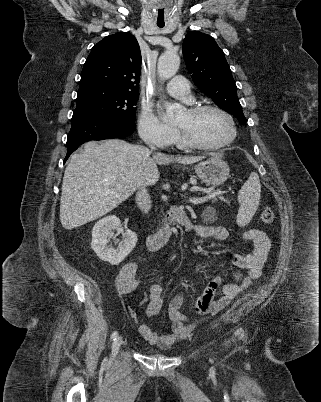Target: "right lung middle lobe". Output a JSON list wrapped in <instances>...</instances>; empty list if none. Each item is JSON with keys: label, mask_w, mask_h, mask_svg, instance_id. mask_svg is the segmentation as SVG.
Here are the masks:
<instances>
[{"label": "right lung middle lobe", "mask_w": 321, "mask_h": 402, "mask_svg": "<svg viewBox=\"0 0 321 402\" xmlns=\"http://www.w3.org/2000/svg\"><path fill=\"white\" fill-rule=\"evenodd\" d=\"M138 98L139 94L105 87H80L72 121L91 118L135 122Z\"/></svg>", "instance_id": "1"}]
</instances>
